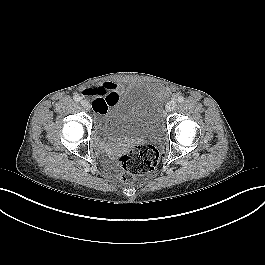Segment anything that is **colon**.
Listing matches in <instances>:
<instances>
[{"label":"colon","instance_id":"5ec220e1","mask_svg":"<svg viewBox=\"0 0 265 265\" xmlns=\"http://www.w3.org/2000/svg\"><path fill=\"white\" fill-rule=\"evenodd\" d=\"M158 162L156 147L150 144L134 146L119 158L120 179L123 183H130L136 176L153 171Z\"/></svg>","mask_w":265,"mask_h":265}]
</instances>
